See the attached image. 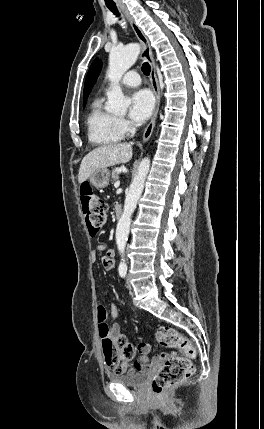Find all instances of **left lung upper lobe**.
<instances>
[{
  "label": "left lung upper lobe",
  "mask_w": 264,
  "mask_h": 429,
  "mask_svg": "<svg viewBox=\"0 0 264 429\" xmlns=\"http://www.w3.org/2000/svg\"><path fill=\"white\" fill-rule=\"evenodd\" d=\"M101 67H102V63L98 59H95L93 61V63L91 64V67H90V69L88 71V74H87V77H86V80H85V84H84V95H83L84 106H85V104L87 102L88 95H89V93H90L93 85L95 84V82L97 80V77L99 75Z\"/></svg>",
  "instance_id": "obj_1"
}]
</instances>
